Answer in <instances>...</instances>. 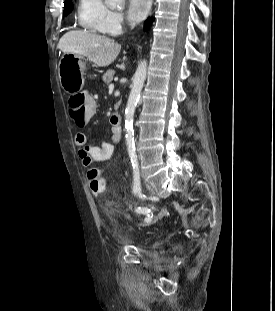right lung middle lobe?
<instances>
[{
  "mask_svg": "<svg viewBox=\"0 0 275 311\" xmlns=\"http://www.w3.org/2000/svg\"><path fill=\"white\" fill-rule=\"evenodd\" d=\"M72 10V2L71 0H66L65 5H64V14L70 13Z\"/></svg>",
  "mask_w": 275,
  "mask_h": 311,
  "instance_id": "dd1d6c3e",
  "label": "right lung middle lobe"
}]
</instances>
